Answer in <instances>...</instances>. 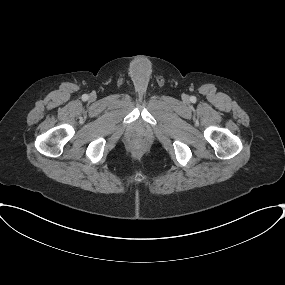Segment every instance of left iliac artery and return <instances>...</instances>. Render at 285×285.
<instances>
[{
	"instance_id": "44dca946",
	"label": "left iliac artery",
	"mask_w": 285,
	"mask_h": 285,
	"mask_svg": "<svg viewBox=\"0 0 285 285\" xmlns=\"http://www.w3.org/2000/svg\"><path fill=\"white\" fill-rule=\"evenodd\" d=\"M191 101H192V102H195V101H196V98H195L194 96H192V97H191Z\"/></svg>"
}]
</instances>
